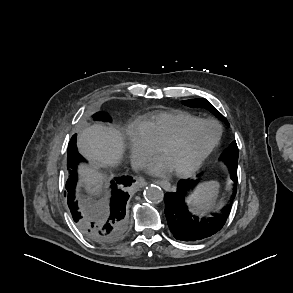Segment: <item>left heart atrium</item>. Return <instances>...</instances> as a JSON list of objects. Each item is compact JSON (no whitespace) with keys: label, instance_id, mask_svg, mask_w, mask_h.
<instances>
[{"label":"left heart atrium","instance_id":"1","mask_svg":"<svg viewBox=\"0 0 293 293\" xmlns=\"http://www.w3.org/2000/svg\"><path fill=\"white\" fill-rule=\"evenodd\" d=\"M146 169L153 175H164L172 170L168 162L163 157L155 158L149 161Z\"/></svg>","mask_w":293,"mask_h":293}]
</instances>
